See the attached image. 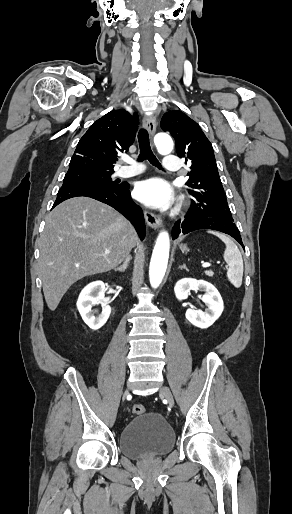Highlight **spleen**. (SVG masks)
<instances>
[{
    "instance_id": "1",
    "label": "spleen",
    "mask_w": 292,
    "mask_h": 514,
    "mask_svg": "<svg viewBox=\"0 0 292 514\" xmlns=\"http://www.w3.org/2000/svg\"><path fill=\"white\" fill-rule=\"evenodd\" d=\"M209 234H213V236H217L220 238L222 242H224L226 246V250L224 252V260L226 264H228V272L227 278L235 288H240L243 280V260L241 256L240 250H238L236 244L228 238V236H224V234H219V232H209Z\"/></svg>"
}]
</instances>
